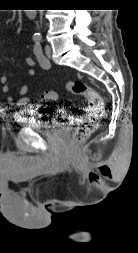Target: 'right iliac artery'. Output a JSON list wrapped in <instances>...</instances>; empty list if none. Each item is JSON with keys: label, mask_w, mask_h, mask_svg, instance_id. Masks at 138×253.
I'll list each match as a JSON object with an SVG mask.
<instances>
[{"label": "right iliac artery", "mask_w": 138, "mask_h": 253, "mask_svg": "<svg viewBox=\"0 0 138 253\" xmlns=\"http://www.w3.org/2000/svg\"><path fill=\"white\" fill-rule=\"evenodd\" d=\"M33 40L36 42V43H39V41L41 40V38L39 36H35L33 38Z\"/></svg>", "instance_id": "right-iliac-artery-1"}]
</instances>
